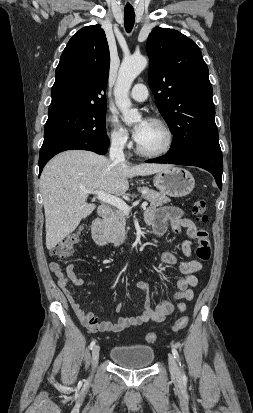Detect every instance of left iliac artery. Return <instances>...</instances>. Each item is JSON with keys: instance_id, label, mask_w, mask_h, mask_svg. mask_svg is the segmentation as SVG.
Segmentation results:
<instances>
[{"instance_id": "1", "label": "left iliac artery", "mask_w": 253, "mask_h": 413, "mask_svg": "<svg viewBox=\"0 0 253 413\" xmlns=\"http://www.w3.org/2000/svg\"><path fill=\"white\" fill-rule=\"evenodd\" d=\"M172 353H173L174 357L179 361V353H178V351H177L175 348H173V349H172ZM182 380H183V381H186V375L184 374V372L182 373Z\"/></svg>"}]
</instances>
